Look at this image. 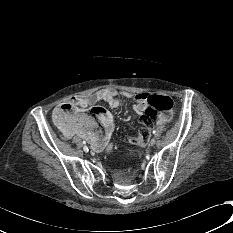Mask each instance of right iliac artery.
I'll return each mask as SVG.
<instances>
[{"instance_id":"right-iliac-artery-1","label":"right iliac artery","mask_w":233,"mask_h":233,"mask_svg":"<svg viewBox=\"0 0 233 233\" xmlns=\"http://www.w3.org/2000/svg\"><path fill=\"white\" fill-rule=\"evenodd\" d=\"M83 143L85 144V141H83ZM83 149H84V151H85V152H88V151H89V149H88V147H87V146H84V148H83Z\"/></svg>"}]
</instances>
